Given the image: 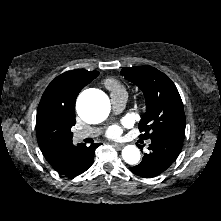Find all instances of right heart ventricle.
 I'll use <instances>...</instances> for the list:
<instances>
[{"label":"right heart ventricle","mask_w":221,"mask_h":221,"mask_svg":"<svg viewBox=\"0 0 221 221\" xmlns=\"http://www.w3.org/2000/svg\"><path fill=\"white\" fill-rule=\"evenodd\" d=\"M105 86L113 92L122 91L125 92L124 86L115 79H107L104 82Z\"/></svg>","instance_id":"right-heart-ventricle-1"}]
</instances>
